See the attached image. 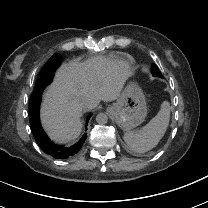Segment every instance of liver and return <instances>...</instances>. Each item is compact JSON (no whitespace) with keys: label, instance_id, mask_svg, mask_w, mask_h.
<instances>
[{"label":"liver","instance_id":"obj_1","mask_svg":"<svg viewBox=\"0 0 208 208\" xmlns=\"http://www.w3.org/2000/svg\"><path fill=\"white\" fill-rule=\"evenodd\" d=\"M132 74L127 61L104 56L63 64L41 108V121L51 139L59 143L76 139L82 131V110L96 108L101 100L117 99ZM82 102L87 105L82 107Z\"/></svg>","mask_w":208,"mask_h":208}]
</instances>
